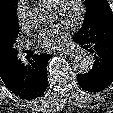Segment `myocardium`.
Masks as SVG:
<instances>
[{
    "label": "myocardium",
    "instance_id": "myocardium-1",
    "mask_svg": "<svg viewBox=\"0 0 113 113\" xmlns=\"http://www.w3.org/2000/svg\"><path fill=\"white\" fill-rule=\"evenodd\" d=\"M69 0H58L55 8V13L62 19L68 21L72 26H78L84 20L86 14V3L84 0H76L78 4V10L74 15H70L68 10Z\"/></svg>",
    "mask_w": 113,
    "mask_h": 113
}]
</instances>
